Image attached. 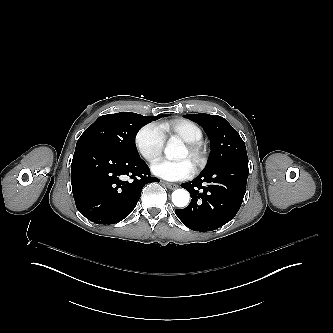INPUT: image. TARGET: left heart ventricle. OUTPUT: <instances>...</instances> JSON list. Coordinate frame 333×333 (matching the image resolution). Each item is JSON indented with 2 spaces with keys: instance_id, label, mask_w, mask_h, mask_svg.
I'll return each instance as SVG.
<instances>
[{
  "instance_id": "1",
  "label": "left heart ventricle",
  "mask_w": 333,
  "mask_h": 333,
  "mask_svg": "<svg viewBox=\"0 0 333 333\" xmlns=\"http://www.w3.org/2000/svg\"><path fill=\"white\" fill-rule=\"evenodd\" d=\"M180 159L187 160V161L191 162L194 165L193 159L191 158L190 153H189V151L186 147L182 151Z\"/></svg>"
}]
</instances>
